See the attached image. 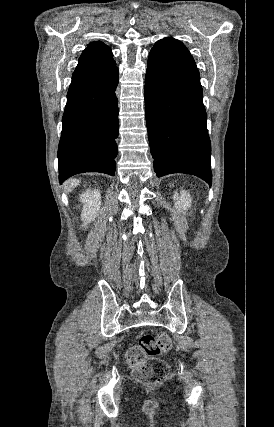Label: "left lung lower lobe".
Returning a JSON list of instances; mask_svg holds the SVG:
<instances>
[{
	"mask_svg": "<svg viewBox=\"0 0 274 427\" xmlns=\"http://www.w3.org/2000/svg\"><path fill=\"white\" fill-rule=\"evenodd\" d=\"M145 113L157 177L185 173L210 186L211 144L199 71L188 49L173 38L152 48L145 76Z\"/></svg>",
	"mask_w": 274,
	"mask_h": 427,
	"instance_id": "obj_1",
	"label": "left lung lower lobe"
}]
</instances>
